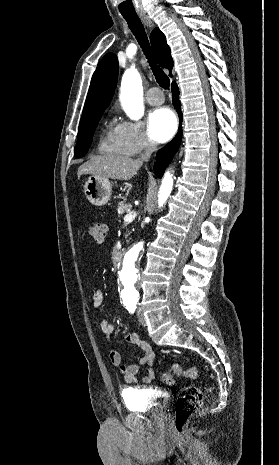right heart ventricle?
Returning <instances> with one entry per match:
<instances>
[{
	"mask_svg": "<svg viewBox=\"0 0 279 465\" xmlns=\"http://www.w3.org/2000/svg\"><path fill=\"white\" fill-rule=\"evenodd\" d=\"M101 154L128 156L131 155L127 148L119 129V125L111 120L106 126L104 135L98 145Z\"/></svg>",
	"mask_w": 279,
	"mask_h": 465,
	"instance_id": "1",
	"label": "right heart ventricle"
}]
</instances>
